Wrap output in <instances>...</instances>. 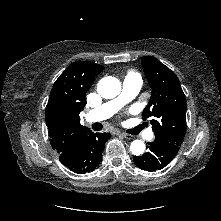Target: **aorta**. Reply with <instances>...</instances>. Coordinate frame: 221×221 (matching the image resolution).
I'll list each match as a JSON object with an SVG mask.
<instances>
[{"label":"aorta","instance_id":"1","mask_svg":"<svg viewBox=\"0 0 221 221\" xmlns=\"http://www.w3.org/2000/svg\"><path fill=\"white\" fill-rule=\"evenodd\" d=\"M98 93L105 99H111L119 95L121 91L120 81L112 76L102 78L97 86ZM130 151L133 155L140 156L145 151V144L141 140L131 142Z\"/></svg>","mask_w":221,"mask_h":221}]
</instances>
